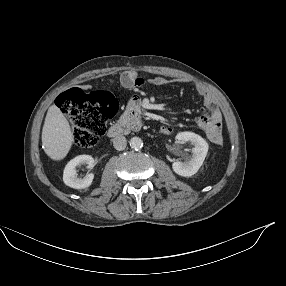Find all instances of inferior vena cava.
I'll list each match as a JSON object with an SVG mask.
<instances>
[{
  "mask_svg": "<svg viewBox=\"0 0 286 286\" xmlns=\"http://www.w3.org/2000/svg\"><path fill=\"white\" fill-rule=\"evenodd\" d=\"M127 145V140L124 136L119 135L113 139V146L116 150H124Z\"/></svg>",
  "mask_w": 286,
  "mask_h": 286,
  "instance_id": "inferior-vena-cava-1",
  "label": "inferior vena cava"
}]
</instances>
